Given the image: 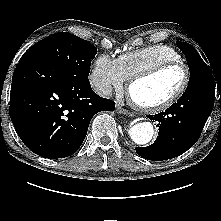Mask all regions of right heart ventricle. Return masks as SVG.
<instances>
[{
	"label": "right heart ventricle",
	"instance_id": "obj_1",
	"mask_svg": "<svg viewBox=\"0 0 221 221\" xmlns=\"http://www.w3.org/2000/svg\"><path fill=\"white\" fill-rule=\"evenodd\" d=\"M181 55L171 46L153 44L137 50L125 52L117 63L125 79L165 61H181Z\"/></svg>",
	"mask_w": 221,
	"mask_h": 221
}]
</instances>
